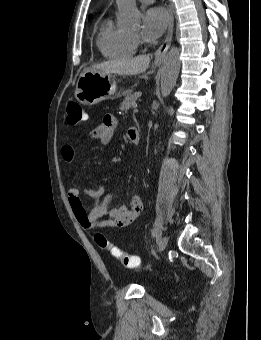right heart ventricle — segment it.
<instances>
[{"instance_id":"e07e8e85","label":"right heart ventricle","mask_w":261,"mask_h":340,"mask_svg":"<svg viewBox=\"0 0 261 340\" xmlns=\"http://www.w3.org/2000/svg\"><path fill=\"white\" fill-rule=\"evenodd\" d=\"M97 47L104 57L117 59L134 55L138 43L131 34L118 29L112 20L107 18L99 28Z\"/></svg>"}]
</instances>
